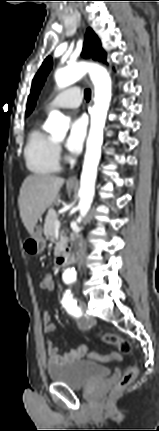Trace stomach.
I'll return each instance as SVG.
<instances>
[{
    "instance_id": "0dacf381",
    "label": "stomach",
    "mask_w": 159,
    "mask_h": 431,
    "mask_svg": "<svg viewBox=\"0 0 159 431\" xmlns=\"http://www.w3.org/2000/svg\"><path fill=\"white\" fill-rule=\"evenodd\" d=\"M69 188H73V187L69 186ZM45 246H46V241L43 238L41 226L39 225L35 226L34 231L31 234L30 238L26 239L24 242V250L28 254L37 255L43 252Z\"/></svg>"
}]
</instances>
